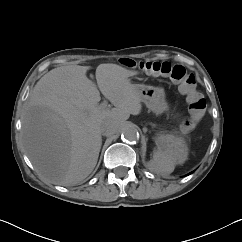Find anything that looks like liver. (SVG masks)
<instances>
[{
	"instance_id": "obj_1",
	"label": "liver",
	"mask_w": 242,
	"mask_h": 242,
	"mask_svg": "<svg viewBox=\"0 0 242 242\" xmlns=\"http://www.w3.org/2000/svg\"><path fill=\"white\" fill-rule=\"evenodd\" d=\"M89 66L52 69L35 85L22 115V139L38 174L51 183L69 186L82 182L96 166L104 119L117 122L115 134L130 115H139L138 84L129 77L138 71L117 64L96 68L99 90L115 108L101 109L97 86L88 79Z\"/></svg>"
}]
</instances>
